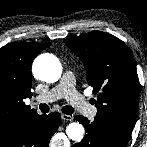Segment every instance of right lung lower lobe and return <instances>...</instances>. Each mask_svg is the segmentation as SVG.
I'll list each match as a JSON object with an SVG mask.
<instances>
[{
  "instance_id": "obj_1",
  "label": "right lung lower lobe",
  "mask_w": 147,
  "mask_h": 147,
  "mask_svg": "<svg viewBox=\"0 0 147 147\" xmlns=\"http://www.w3.org/2000/svg\"><path fill=\"white\" fill-rule=\"evenodd\" d=\"M58 112L37 115L0 138V147H48L52 135L60 125Z\"/></svg>"
}]
</instances>
